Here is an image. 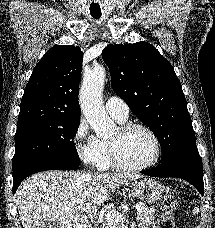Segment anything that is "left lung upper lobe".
Returning a JSON list of instances; mask_svg holds the SVG:
<instances>
[{
  "label": "left lung upper lobe",
  "instance_id": "5c2ea615",
  "mask_svg": "<svg viewBox=\"0 0 215 228\" xmlns=\"http://www.w3.org/2000/svg\"><path fill=\"white\" fill-rule=\"evenodd\" d=\"M102 57L114 92L158 138L161 162L196 145L180 81L173 67L148 42L108 45Z\"/></svg>",
  "mask_w": 215,
  "mask_h": 228
}]
</instances>
